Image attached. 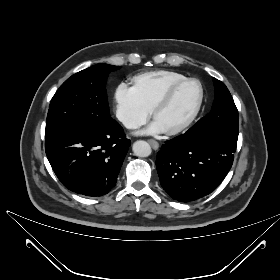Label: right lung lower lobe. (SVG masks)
Wrapping results in <instances>:
<instances>
[{
	"mask_svg": "<svg viewBox=\"0 0 280 280\" xmlns=\"http://www.w3.org/2000/svg\"><path fill=\"white\" fill-rule=\"evenodd\" d=\"M47 158L69 190L103 196L116 184L131 141L114 121L105 127H66L45 137Z\"/></svg>",
	"mask_w": 280,
	"mask_h": 280,
	"instance_id": "obj_1",
	"label": "right lung lower lobe"
}]
</instances>
